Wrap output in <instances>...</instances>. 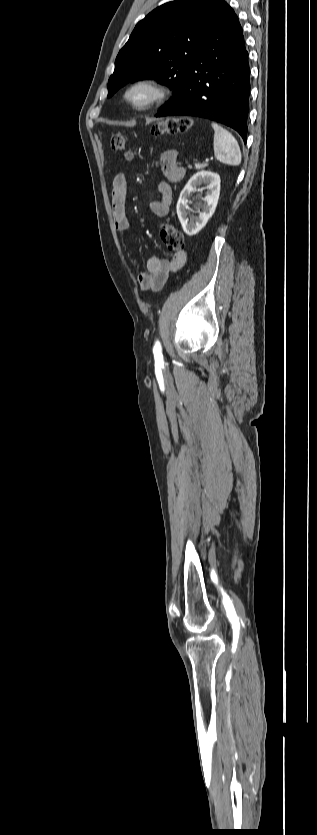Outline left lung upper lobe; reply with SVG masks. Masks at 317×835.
Wrapping results in <instances>:
<instances>
[{
    "label": "left lung upper lobe",
    "instance_id": "5c2ea615",
    "mask_svg": "<svg viewBox=\"0 0 317 835\" xmlns=\"http://www.w3.org/2000/svg\"><path fill=\"white\" fill-rule=\"evenodd\" d=\"M228 8L223 0H176L157 7L137 23L119 51L108 97L130 81L151 78L173 90L165 105L176 100L190 66Z\"/></svg>",
    "mask_w": 317,
    "mask_h": 835
}]
</instances>
